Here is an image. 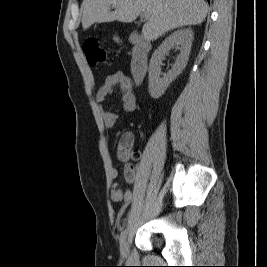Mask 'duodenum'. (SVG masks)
<instances>
[{"instance_id": "1", "label": "duodenum", "mask_w": 267, "mask_h": 267, "mask_svg": "<svg viewBox=\"0 0 267 267\" xmlns=\"http://www.w3.org/2000/svg\"><path fill=\"white\" fill-rule=\"evenodd\" d=\"M133 43L131 57V73L136 82H141L146 76L148 70V54L151 46L144 38L138 34L131 36Z\"/></svg>"}]
</instances>
